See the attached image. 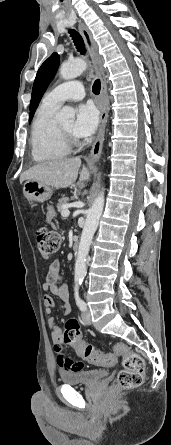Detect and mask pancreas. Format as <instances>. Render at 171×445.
I'll list each match as a JSON object with an SVG mask.
<instances>
[{
	"label": "pancreas",
	"mask_w": 171,
	"mask_h": 445,
	"mask_svg": "<svg viewBox=\"0 0 171 445\" xmlns=\"http://www.w3.org/2000/svg\"><path fill=\"white\" fill-rule=\"evenodd\" d=\"M69 202L68 198H61L58 202L57 208L59 211L63 210V206Z\"/></svg>",
	"instance_id": "obj_1"
}]
</instances>
